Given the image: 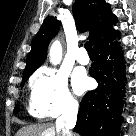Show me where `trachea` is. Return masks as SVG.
<instances>
[{"label": "trachea", "mask_w": 136, "mask_h": 136, "mask_svg": "<svg viewBox=\"0 0 136 136\" xmlns=\"http://www.w3.org/2000/svg\"><path fill=\"white\" fill-rule=\"evenodd\" d=\"M85 48L89 55H94L92 45L89 41L85 43Z\"/></svg>", "instance_id": "3493384b"}]
</instances>
